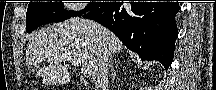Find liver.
Here are the masks:
<instances>
[{"mask_svg": "<svg viewBox=\"0 0 216 90\" xmlns=\"http://www.w3.org/2000/svg\"><path fill=\"white\" fill-rule=\"evenodd\" d=\"M124 46L117 36L93 20L72 18L63 24H54L47 30H38L31 38L27 62L43 68L41 78L46 86L70 82L75 62H82L81 72L92 76L102 56L120 54Z\"/></svg>", "mask_w": 216, "mask_h": 90, "instance_id": "6515ba94", "label": "liver"}]
</instances>
